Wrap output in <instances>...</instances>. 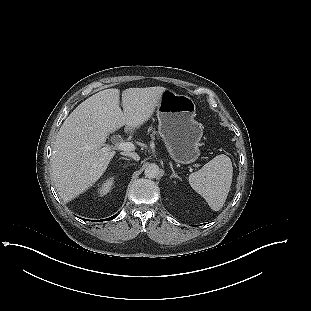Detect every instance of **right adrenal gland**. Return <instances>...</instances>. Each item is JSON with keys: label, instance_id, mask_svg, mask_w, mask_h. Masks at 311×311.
<instances>
[{"label": "right adrenal gland", "instance_id": "obj_1", "mask_svg": "<svg viewBox=\"0 0 311 311\" xmlns=\"http://www.w3.org/2000/svg\"><path fill=\"white\" fill-rule=\"evenodd\" d=\"M120 159H123V160H129V159L125 158V157H121Z\"/></svg>", "mask_w": 311, "mask_h": 311}]
</instances>
